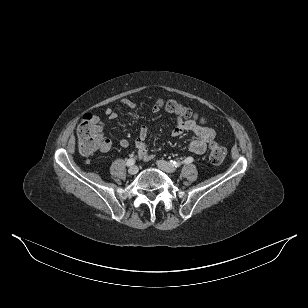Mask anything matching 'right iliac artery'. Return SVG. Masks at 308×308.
<instances>
[{
  "label": "right iliac artery",
  "mask_w": 308,
  "mask_h": 308,
  "mask_svg": "<svg viewBox=\"0 0 308 308\" xmlns=\"http://www.w3.org/2000/svg\"><path fill=\"white\" fill-rule=\"evenodd\" d=\"M134 164H135V159H132V158H131V159H128L127 162H126V165H127V166H132V165H134Z\"/></svg>",
  "instance_id": "82829eb1"
}]
</instances>
